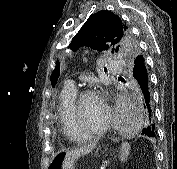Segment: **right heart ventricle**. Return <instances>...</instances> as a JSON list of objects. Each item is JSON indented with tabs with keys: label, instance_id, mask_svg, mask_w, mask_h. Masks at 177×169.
Returning a JSON list of instances; mask_svg holds the SVG:
<instances>
[{
	"label": "right heart ventricle",
	"instance_id": "1",
	"mask_svg": "<svg viewBox=\"0 0 177 169\" xmlns=\"http://www.w3.org/2000/svg\"><path fill=\"white\" fill-rule=\"evenodd\" d=\"M77 96V89H71L66 85L62 89L58 102V117L63 135L70 141L82 139L76 138L71 117V108Z\"/></svg>",
	"mask_w": 177,
	"mask_h": 169
}]
</instances>
